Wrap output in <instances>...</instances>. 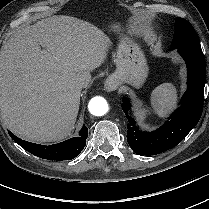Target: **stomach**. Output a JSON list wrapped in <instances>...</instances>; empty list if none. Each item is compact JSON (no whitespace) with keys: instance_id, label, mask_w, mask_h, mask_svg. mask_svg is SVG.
<instances>
[{"instance_id":"obj_1","label":"stomach","mask_w":209,"mask_h":209,"mask_svg":"<svg viewBox=\"0 0 209 209\" xmlns=\"http://www.w3.org/2000/svg\"><path fill=\"white\" fill-rule=\"evenodd\" d=\"M114 62L116 70L107 80H114L117 85L130 84L140 88L148 76V65L140 46L130 38L121 40Z\"/></svg>"}]
</instances>
